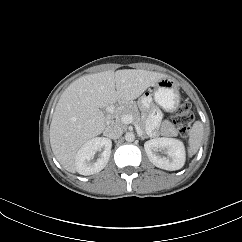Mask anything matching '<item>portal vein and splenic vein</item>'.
<instances>
[{
    "label": "portal vein and splenic vein",
    "instance_id": "obj_1",
    "mask_svg": "<svg viewBox=\"0 0 242 242\" xmlns=\"http://www.w3.org/2000/svg\"><path fill=\"white\" fill-rule=\"evenodd\" d=\"M121 123H123V124H130V123H135V122H134V118H133L132 115L126 114V115H123L121 117ZM134 126H135V129H136L137 133L139 135H142V131H141L140 127L138 126V124L135 123Z\"/></svg>",
    "mask_w": 242,
    "mask_h": 242
}]
</instances>
